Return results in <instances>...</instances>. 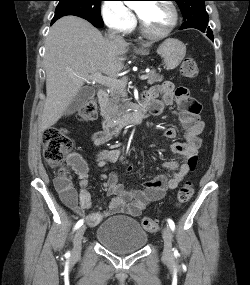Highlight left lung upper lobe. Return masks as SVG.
I'll return each mask as SVG.
<instances>
[{
  "instance_id": "obj_1",
  "label": "left lung upper lobe",
  "mask_w": 250,
  "mask_h": 285,
  "mask_svg": "<svg viewBox=\"0 0 250 285\" xmlns=\"http://www.w3.org/2000/svg\"><path fill=\"white\" fill-rule=\"evenodd\" d=\"M177 2L184 22L180 28H196L199 30L211 31L208 27V14L205 10L207 0H174Z\"/></svg>"
}]
</instances>
